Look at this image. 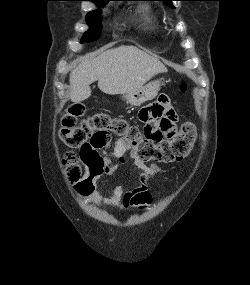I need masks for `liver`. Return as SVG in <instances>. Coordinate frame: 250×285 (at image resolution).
I'll return each instance as SVG.
<instances>
[{"label": "liver", "instance_id": "6515ba94", "mask_svg": "<svg viewBox=\"0 0 250 285\" xmlns=\"http://www.w3.org/2000/svg\"><path fill=\"white\" fill-rule=\"evenodd\" d=\"M167 68L155 57L134 46H120L81 62L70 74V99L80 103L91 96L90 84L106 94H125L141 88Z\"/></svg>", "mask_w": 250, "mask_h": 285}]
</instances>
